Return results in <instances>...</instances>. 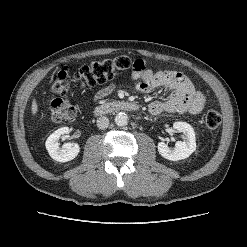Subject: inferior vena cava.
Masks as SVG:
<instances>
[{
  "mask_svg": "<svg viewBox=\"0 0 247 247\" xmlns=\"http://www.w3.org/2000/svg\"><path fill=\"white\" fill-rule=\"evenodd\" d=\"M109 126V119L106 116H100L97 118V127L99 129H106Z\"/></svg>",
  "mask_w": 247,
  "mask_h": 247,
  "instance_id": "inferior-vena-cava-1",
  "label": "inferior vena cava"
}]
</instances>
